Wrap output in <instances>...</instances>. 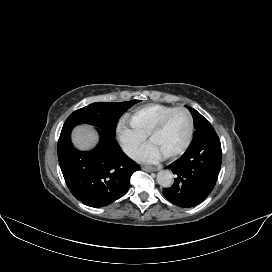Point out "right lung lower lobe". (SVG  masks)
Returning a JSON list of instances; mask_svg holds the SVG:
<instances>
[{
    "label": "right lung lower lobe",
    "mask_w": 272,
    "mask_h": 272,
    "mask_svg": "<svg viewBox=\"0 0 272 272\" xmlns=\"http://www.w3.org/2000/svg\"><path fill=\"white\" fill-rule=\"evenodd\" d=\"M78 123H64L58 140V159L67 187L87 206L103 207L122 197L131 175L140 166L128 158L113 134L97 129L100 143L89 152L75 149L70 134Z\"/></svg>",
    "instance_id": "1"
}]
</instances>
